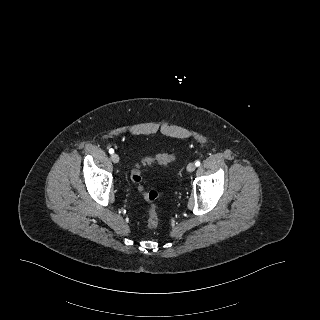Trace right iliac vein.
<instances>
[{"label": "right iliac vein", "instance_id": "63e3f726", "mask_svg": "<svg viewBox=\"0 0 320 320\" xmlns=\"http://www.w3.org/2000/svg\"><path fill=\"white\" fill-rule=\"evenodd\" d=\"M111 160L113 163H118L119 162V156L117 154H112L111 155Z\"/></svg>", "mask_w": 320, "mask_h": 320}]
</instances>
